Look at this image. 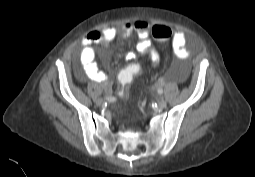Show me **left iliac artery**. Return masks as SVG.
<instances>
[{
	"label": "left iliac artery",
	"instance_id": "left-iliac-artery-1",
	"mask_svg": "<svg viewBox=\"0 0 255 177\" xmlns=\"http://www.w3.org/2000/svg\"><path fill=\"white\" fill-rule=\"evenodd\" d=\"M157 92H158V94H162V93H163V90H162L161 88H159V89L157 90Z\"/></svg>",
	"mask_w": 255,
	"mask_h": 177
}]
</instances>
